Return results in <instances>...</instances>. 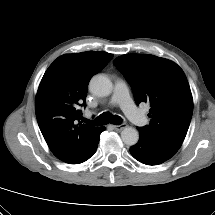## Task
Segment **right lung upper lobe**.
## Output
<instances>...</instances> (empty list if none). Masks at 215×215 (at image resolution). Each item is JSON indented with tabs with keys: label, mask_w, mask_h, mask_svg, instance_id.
<instances>
[{
	"label": "right lung upper lobe",
	"mask_w": 215,
	"mask_h": 215,
	"mask_svg": "<svg viewBox=\"0 0 215 215\" xmlns=\"http://www.w3.org/2000/svg\"><path fill=\"white\" fill-rule=\"evenodd\" d=\"M112 57L102 51L62 55L40 82L35 100L38 125L50 150L63 162L82 163L98 140L102 127L79 122V106H85L92 76Z\"/></svg>",
	"instance_id": "right-lung-upper-lobe-1"
}]
</instances>
